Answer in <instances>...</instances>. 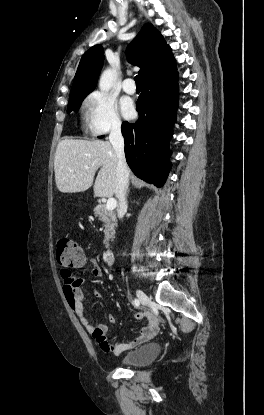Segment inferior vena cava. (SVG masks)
<instances>
[{"label": "inferior vena cava", "mask_w": 264, "mask_h": 415, "mask_svg": "<svg viewBox=\"0 0 264 415\" xmlns=\"http://www.w3.org/2000/svg\"><path fill=\"white\" fill-rule=\"evenodd\" d=\"M109 141L117 158L115 194L119 200L118 217L122 219L127 211L126 192L129 183V169L124 153V139L121 133L120 123H115L109 135Z\"/></svg>", "instance_id": "obj_1"}]
</instances>
